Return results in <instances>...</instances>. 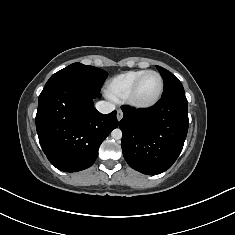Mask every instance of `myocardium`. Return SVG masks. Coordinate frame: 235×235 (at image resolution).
I'll use <instances>...</instances> for the list:
<instances>
[{
  "label": "myocardium",
  "mask_w": 235,
  "mask_h": 235,
  "mask_svg": "<svg viewBox=\"0 0 235 235\" xmlns=\"http://www.w3.org/2000/svg\"><path fill=\"white\" fill-rule=\"evenodd\" d=\"M155 74L157 75V77L159 78V82H160V87H159V91L158 94L156 95V97L154 99H152L151 101L148 102H139L135 99V94L137 91V88L140 84V82L142 81V79L148 75V74ZM164 92V81L162 76L160 75L159 72L155 71V70H146L144 73H142L133 83V85L131 86V88L129 89L126 97H125V102L133 109L135 110H147L152 108L153 106H155L161 99L162 95Z\"/></svg>",
  "instance_id": "f54148a6"
}]
</instances>
